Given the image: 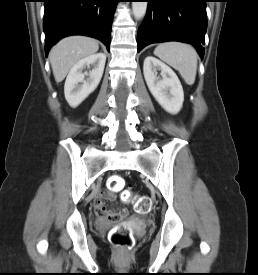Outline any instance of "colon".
I'll return each mask as SVG.
<instances>
[{"mask_svg":"<svg viewBox=\"0 0 258 275\" xmlns=\"http://www.w3.org/2000/svg\"><path fill=\"white\" fill-rule=\"evenodd\" d=\"M124 179L120 176H112L108 182V187L111 192L121 191L124 187ZM122 200L129 202L132 200V193L130 191H124L122 193ZM151 208V201L147 196H141L138 198L135 209L140 214H145L149 212ZM125 214L124 211L119 212H108L107 218L109 219H118ZM109 241L115 247L121 248L123 250H130L135 244V238L132 231L122 224L114 226L109 234Z\"/></svg>","mask_w":258,"mask_h":275,"instance_id":"1","label":"colon"}]
</instances>
